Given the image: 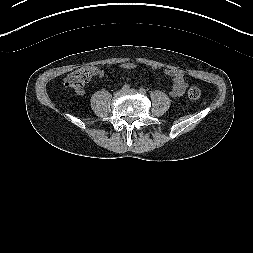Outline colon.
<instances>
[{
  "label": "colon",
  "instance_id": "colon-1",
  "mask_svg": "<svg viewBox=\"0 0 253 253\" xmlns=\"http://www.w3.org/2000/svg\"><path fill=\"white\" fill-rule=\"evenodd\" d=\"M93 72L90 67H81L72 72L66 79L65 85L75 91L84 89L86 83L90 80ZM201 96V90L192 86L188 90V97L191 100H197Z\"/></svg>",
  "mask_w": 253,
  "mask_h": 253
}]
</instances>
